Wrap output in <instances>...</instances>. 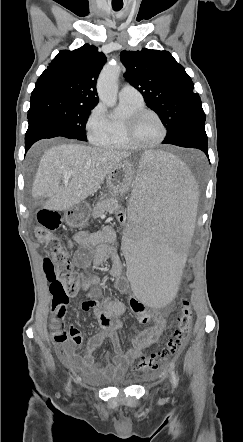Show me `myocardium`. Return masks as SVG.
Masks as SVG:
<instances>
[{
	"label": "myocardium",
	"instance_id": "myocardium-1",
	"mask_svg": "<svg viewBox=\"0 0 243 442\" xmlns=\"http://www.w3.org/2000/svg\"><path fill=\"white\" fill-rule=\"evenodd\" d=\"M148 114L153 115L158 120V122L162 128V134H161L160 138L157 141H155L154 143L143 144V143L138 142L135 139L134 133H135V128H136L138 121L143 116L148 115ZM167 133H168L167 126H166L163 118L161 117V115L157 111L150 109V108H142L140 110H137L136 112L132 113L125 121V138H126L128 144L130 146H132L133 148H138V149L156 148L164 142V140L167 137Z\"/></svg>",
	"mask_w": 243,
	"mask_h": 442
}]
</instances>
